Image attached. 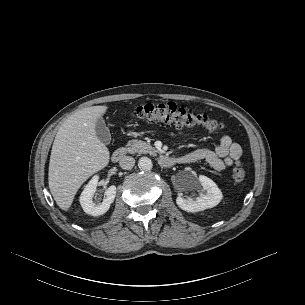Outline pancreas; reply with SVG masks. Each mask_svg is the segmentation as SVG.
Here are the masks:
<instances>
[{"instance_id":"1","label":"pancreas","mask_w":305,"mask_h":305,"mask_svg":"<svg viewBox=\"0 0 305 305\" xmlns=\"http://www.w3.org/2000/svg\"><path fill=\"white\" fill-rule=\"evenodd\" d=\"M124 149L126 152L131 153V154L149 153L150 155H155L157 152L156 149L153 148L149 143H146L141 140H130Z\"/></svg>"}]
</instances>
